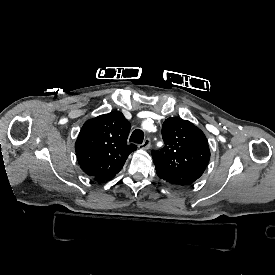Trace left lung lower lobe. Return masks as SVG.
I'll return each instance as SVG.
<instances>
[{
  "mask_svg": "<svg viewBox=\"0 0 275 275\" xmlns=\"http://www.w3.org/2000/svg\"><path fill=\"white\" fill-rule=\"evenodd\" d=\"M156 172L159 178L165 180L166 182L170 183V184H174L176 185L173 180L167 176L162 170H160L159 168H156Z\"/></svg>",
  "mask_w": 275,
  "mask_h": 275,
  "instance_id": "left-lung-lower-lobe-1",
  "label": "left lung lower lobe"
}]
</instances>
